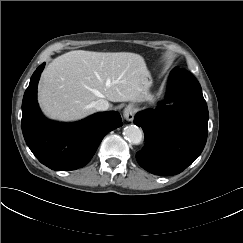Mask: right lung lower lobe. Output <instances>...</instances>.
Listing matches in <instances>:
<instances>
[{
    "label": "right lung lower lobe",
    "instance_id": "right-lung-lower-lobe-1",
    "mask_svg": "<svg viewBox=\"0 0 243 243\" xmlns=\"http://www.w3.org/2000/svg\"><path fill=\"white\" fill-rule=\"evenodd\" d=\"M45 63L33 73L22 102V132L25 141L45 166L68 171L85 166L110 131L122 126L119 113H97L76 123L47 120L37 103V84Z\"/></svg>",
    "mask_w": 243,
    "mask_h": 243
}]
</instances>
